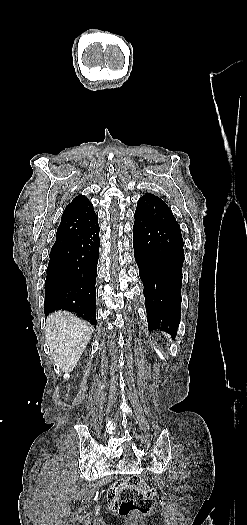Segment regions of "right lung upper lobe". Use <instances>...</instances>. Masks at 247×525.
Wrapping results in <instances>:
<instances>
[{"mask_svg": "<svg viewBox=\"0 0 247 525\" xmlns=\"http://www.w3.org/2000/svg\"><path fill=\"white\" fill-rule=\"evenodd\" d=\"M97 224L98 219L92 203L84 195H78L67 205L62 214L53 247L77 238Z\"/></svg>", "mask_w": 247, "mask_h": 525, "instance_id": "cb5924a9", "label": "right lung upper lobe"}]
</instances>
